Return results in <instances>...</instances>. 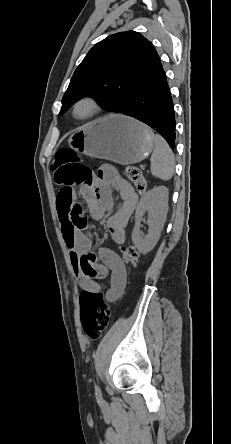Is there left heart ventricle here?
Returning <instances> with one entry per match:
<instances>
[{"label":"left heart ventricle","instance_id":"left-heart-ventricle-1","mask_svg":"<svg viewBox=\"0 0 231 444\" xmlns=\"http://www.w3.org/2000/svg\"><path fill=\"white\" fill-rule=\"evenodd\" d=\"M88 111V107L86 105H82L78 109L79 114H85Z\"/></svg>","mask_w":231,"mask_h":444}]
</instances>
